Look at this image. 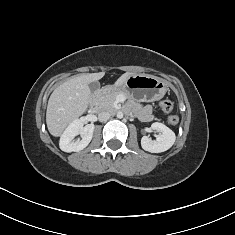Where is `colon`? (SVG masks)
Here are the masks:
<instances>
[{
	"label": "colon",
	"instance_id": "obj_1",
	"mask_svg": "<svg viewBox=\"0 0 235 235\" xmlns=\"http://www.w3.org/2000/svg\"><path fill=\"white\" fill-rule=\"evenodd\" d=\"M159 106L164 114H170L173 111V104L169 100L161 101ZM169 122L173 125L176 124L178 122V117L176 115H171L169 117Z\"/></svg>",
	"mask_w": 235,
	"mask_h": 235
}]
</instances>
